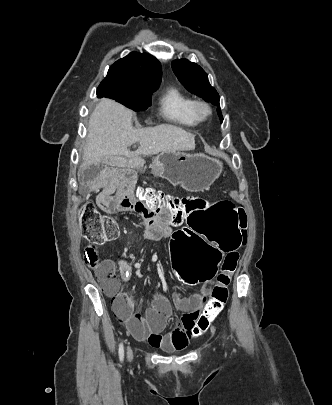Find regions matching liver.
<instances>
[{
  "label": "liver",
  "mask_w": 332,
  "mask_h": 405,
  "mask_svg": "<svg viewBox=\"0 0 332 405\" xmlns=\"http://www.w3.org/2000/svg\"><path fill=\"white\" fill-rule=\"evenodd\" d=\"M136 142L140 147L131 152L129 147ZM194 149L195 136L182 128L162 124L136 130L132 126L131 110L113 100L102 99L90 115L81 167L96 163L114 166L121 164L122 159Z\"/></svg>",
  "instance_id": "1"
}]
</instances>
